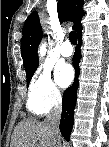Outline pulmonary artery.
Listing matches in <instances>:
<instances>
[{
  "label": "pulmonary artery",
  "mask_w": 109,
  "mask_h": 147,
  "mask_svg": "<svg viewBox=\"0 0 109 147\" xmlns=\"http://www.w3.org/2000/svg\"><path fill=\"white\" fill-rule=\"evenodd\" d=\"M72 53H73V48L71 46V43L69 41H64L60 46V54L63 57L68 58L72 55Z\"/></svg>",
  "instance_id": "1"
}]
</instances>
